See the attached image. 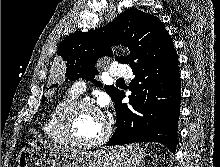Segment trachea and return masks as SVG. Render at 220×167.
<instances>
[{
	"label": "trachea",
	"instance_id": "trachea-1",
	"mask_svg": "<svg viewBox=\"0 0 220 167\" xmlns=\"http://www.w3.org/2000/svg\"><path fill=\"white\" fill-rule=\"evenodd\" d=\"M118 81H124V79H119Z\"/></svg>",
	"mask_w": 220,
	"mask_h": 167
}]
</instances>
